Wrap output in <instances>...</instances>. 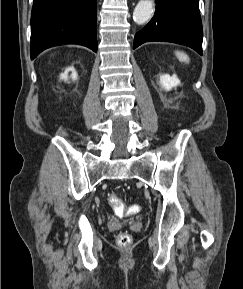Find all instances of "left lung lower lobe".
I'll use <instances>...</instances> for the list:
<instances>
[{
	"label": "left lung lower lobe",
	"mask_w": 243,
	"mask_h": 289,
	"mask_svg": "<svg viewBox=\"0 0 243 289\" xmlns=\"http://www.w3.org/2000/svg\"><path fill=\"white\" fill-rule=\"evenodd\" d=\"M202 23L199 0H156L152 20L134 38L133 49L149 41L189 46L202 55Z\"/></svg>",
	"instance_id": "1"
}]
</instances>
